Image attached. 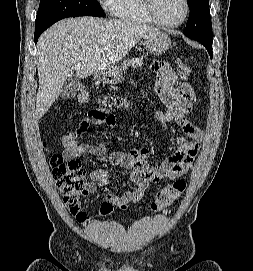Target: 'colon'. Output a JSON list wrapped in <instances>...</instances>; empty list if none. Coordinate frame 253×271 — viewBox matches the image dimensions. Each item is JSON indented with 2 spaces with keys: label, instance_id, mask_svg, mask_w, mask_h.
<instances>
[{
  "label": "colon",
  "instance_id": "1",
  "mask_svg": "<svg viewBox=\"0 0 253 271\" xmlns=\"http://www.w3.org/2000/svg\"><path fill=\"white\" fill-rule=\"evenodd\" d=\"M177 64L183 72H189V67L184 61L178 60ZM75 100L80 104L88 102L89 93L85 87L78 90ZM103 103L106 108H120L126 105V100L120 97H107ZM90 115L96 119H103L107 115V111L96 109L91 111ZM50 165L64 204L79 222H85L88 217L82 211L80 204L82 198L89 193L90 185L86 180L81 161L78 158L67 159L60 154H54L50 159ZM185 188L186 183L183 179L168 184L157 192L151 204L152 210L154 212L163 211L183 194ZM104 206L108 207L107 204ZM116 207L125 209L127 202L121 201L116 204Z\"/></svg>",
  "mask_w": 253,
  "mask_h": 271
}]
</instances>
